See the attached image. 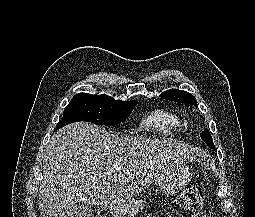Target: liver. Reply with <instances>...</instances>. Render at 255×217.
I'll return each mask as SVG.
<instances>
[{
	"instance_id": "1",
	"label": "liver",
	"mask_w": 255,
	"mask_h": 217,
	"mask_svg": "<svg viewBox=\"0 0 255 217\" xmlns=\"http://www.w3.org/2000/svg\"><path fill=\"white\" fill-rule=\"evenodd\" d=\"M195 158L186 144L129 138L86 122L55 132L45 146L41 217H67L77 203L131 199L179 163ZM115 164L122 166L113 171Z\"/></svg>"
}]
</instances>
